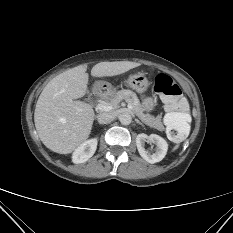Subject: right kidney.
<instances>
[{
    "label": "right kidney",
    "mask_w": 233,
    "mask_h": 233,
    "mask_svg": "<svg viewBox=\"0 0 233 233\" xmlns=\"http://www.w3.org/2000/svg\"><path fill=\"white\" fill-rule=\"evenodd\" d=\"M97 142V138H92L80 144L73 152L72 161L80 164L90 159L96 151Z\"/></svg>",
    "instance_id": "ca27d5eb"
}]
</instances>
